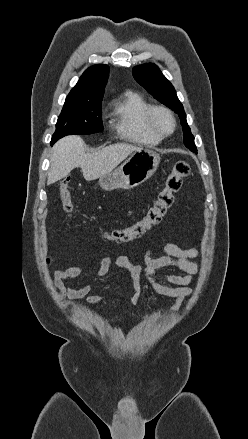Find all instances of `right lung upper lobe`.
<instances>
[{
    "mask_svg": "<svg viewBox=\"0 0 248 439\" xmlns=\"http://www.w3.org/2000/svg\"><path fill=\"white\" fill-rule=\"evenodd\" d=\"M109 75L107 65L89 67L80 77L76 86L68 94L66 101H102L104 87Z\"/></svg>",
    "mask_w": 248,
    "mask_h": 439,
    "instance_id": "obj_1",
    "label": "right lung upper lobe"
}]
</instances>
